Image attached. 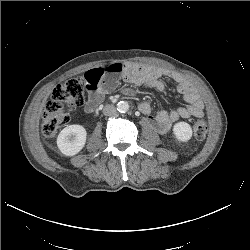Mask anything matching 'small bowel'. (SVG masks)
<instances>
[{"label": "small bowel", "instance_id": "c3829d8e", "mask_svg": "<svg viewBox=\"0 0 250 250\" xmlns=\"http://www.w3.org/2000/svg\"><path fill=\"white\" fill-rule=\"evenodd\" d=\"M163 77L171 78L177 83V91L183 97L186 105L169 112L159 110L153 113L149 103H142L140 111L147 115L150 125L159 133H167L180 119L191 116L202 117L204 114L202 98L193 85L180 74L154 66L121 62L93 68L84 74L88 90L85 111L93 112L103 101L105 95L117 87L121 79L133 85L152 87L162 92L165 90Z\"/></svg>", "mask_w": 250, "mask_h": 250}]
</instances>
